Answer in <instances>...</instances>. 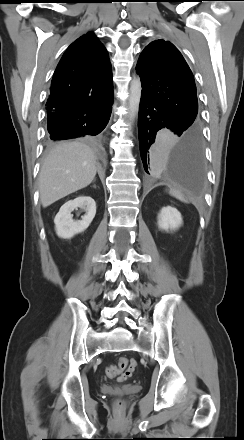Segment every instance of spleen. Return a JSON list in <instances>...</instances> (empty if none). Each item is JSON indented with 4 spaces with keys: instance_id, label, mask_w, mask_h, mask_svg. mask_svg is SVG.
I'll return each instance as SVG.
<instances>
[{
    "instance_id": "obj_1",
    "label": "spleen",
    "mask_w": 244,
    "mask_h": 440,
    "mask_svg": "<svg viewBox=\"0 0 244 440\" xmlns=\"http://www.w3.org/2000/svg\"><path fill=\"white\" fill-rule=\"evenodd\" d=\"M169 194L182 202L188 203V200L184 197V195L176 189H170Z\"/></svg>"
}]
</instances>
